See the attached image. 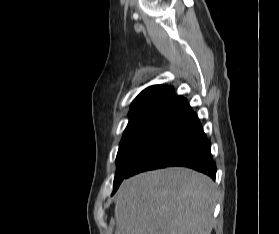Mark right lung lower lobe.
I'll return each instance as SVG.
<instances>
[{"label":"right lung lower lobe","instance_id":"obj_1","mask_svg":"<svg viewBox=\"0 0 279 234\" xmlns=\"http://www.w3.org/2000/svg\"><path fill=\"white\" fill-rule=\"evenodd\" d=\"M171 166H184L216 176V165L197 114L183 99L159 123L131 161L125 178Z\"/></svg>","mask_w":279,"mask_h":234}]
</instances>
